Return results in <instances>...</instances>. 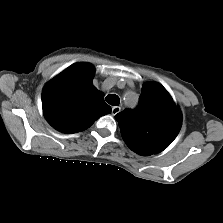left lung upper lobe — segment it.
Instances as JSON below:
<instances>
[{
    "instance_id": "obj_1",
    "label": "left lung upper lobe",
    "mask_w": 223,
    "mask_h": 223,
    "mask_svg": "<svg viewBox=\"0 0 223 223\" xmlns=\"http://www.w3.org/2000/svg\"><path fill=\"white\" fill-rule=\"evenodd\" d=\"M127 146L142 156L159 153L176 138L182 116L167 90L156 82L142 87L137 110L115 116Z\"/></svg>"
}]
</instances>
